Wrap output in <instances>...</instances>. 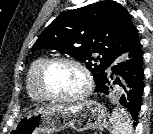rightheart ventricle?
<instances>
[{"label": "right heart ventricle", "instance_id": "right-heart-ventricle-1", "mask_svg": "<svg viewBox=\"0 0 153 134\" xmlns=\"http://www.w3.org/2000/svg\"><path fill=\"white\" fill-rule=\"evenodd\" d=\"M46 58L39 57L35 59L31 64L27 72L26 76V89L28 96L36 102H45L46 99L41 95V93L38 90L37 87V74L41 67V65L44 63Z\"/></svg>", "mask_w": 153, "mask_h": 134}]
</instances>
